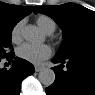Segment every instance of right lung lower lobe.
I'll list each match as a JSON object with an SVG mask.
<instances>
[{
    "label": "right lung lower lobe",
    "mask_w": 95,
    "mask_h": 95,
    "mask_svg": "<svg viewBox=\"0 0 95 95\" xmlns=\"http://www.w3.org/2000/svg\"><path fill=\"white\" fill-rule=\"evenodd\" d=\"M14 56L11 53L7 56V59L13 60ZM34 71L32 64L20 58L15 59V63L10 70L0 69V95H19L21 82Z\"/></svg>",
    "instance_id": "right-lung-lower-lobe-1"
}]
</instances>
